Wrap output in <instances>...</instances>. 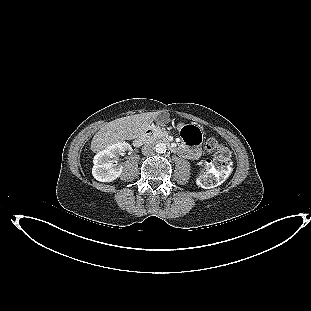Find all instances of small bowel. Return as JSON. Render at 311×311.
Returning a JSON list of instances; mask_svg holds the SVG:
<instances>
[{
  "mask_svg": "<svg viewBox=\"0 0 311 311\" xmlns=\"http://www.w3.org/2000/svg\"><path fill=\"white\" fill-rule=\"evenodd\" d=\"M179 127H182V125H179ZM195 129L199 132V130L197 128H195ZM183 139H184L183 143L180 147L181 155L186 156V157H190V158H197L200 154L199 150L197 148L193 147L192 146L193 144L189 140H187L186 138H183Z\"/></svg>",
  "mask_w": 311,
  "mask_h": 311,
  "instance_id": "small-bowel-1",
  "label": "small bowel"
}]
</instances>
